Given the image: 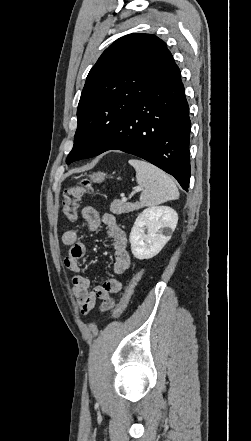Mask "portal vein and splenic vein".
Listing matches in <instances>:
<instances>
[{
  "label": "portal vein and splenic vein",
  "mask_w": 251,
  "mask_h": 441,
  "mask_svg": "<svg viewBox=\"0 0 251 441\" xmlns=\"http://www.w3.org/2000/svg\"><path fill=\"white\" fill-rule=\"evenodd\" d=\"M141 190V188H137L131 195L129 198H131L133 196V194H135L136 192H139ZM122 201H127V198L125 196L122 197Z\"/></svg>",
  "instance_id": "1"
}]
</instances>
